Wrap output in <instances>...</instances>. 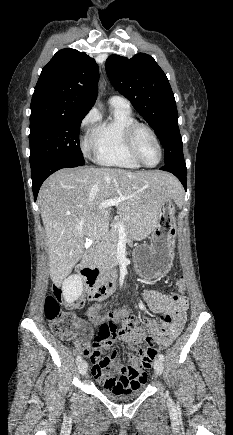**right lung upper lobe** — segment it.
Segmentation results:
<instances>
[{"label": "right lung upper lobe", "mask_w": 233, "mask_h": 435, "mask_svg": "<svg viewBox=\"0 0 233 435\" xmlns=\"http://www.w3.org/2000/svg\"><path fill=\"white\" fill-rule=\"evenodd\" d=\"M98 67L86 53L59 50L42 69L31 101V116L87 114L97 97Z\"/></svg>", "instance_id": "obj_1"}]
</instances>
